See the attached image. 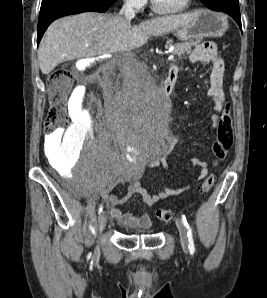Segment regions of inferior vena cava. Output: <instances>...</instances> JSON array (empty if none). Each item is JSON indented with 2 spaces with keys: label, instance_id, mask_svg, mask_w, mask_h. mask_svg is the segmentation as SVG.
I'll return each instance as SVG.
<instances>
[{
  "label": "inferior vena cava",
  "instance_id": "inferior-vena-cava-1",
  "mask_svg": "<svg viewBox=\"0 0 267 298\" xmlns=\"http://www.w3.org/2000/svg\"><path fill=\"white\" fill-rule=\"evenodd\" d=\"M133 6L134 4L132 0H126L120 11V15L124 16L125 21H127L128 23L131 21V19L135 17V11ZM117 60L120 64L121 70L125 74L130 73L133 70L134 65L136 63L134 54L130 50L121 52L117 56Z\"/></svg>",
  "mask_w": 267,
  "mask_h": 298
}]
</instances>
